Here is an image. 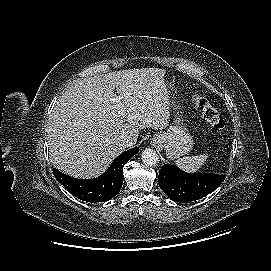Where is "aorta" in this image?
I'll return each instance as SVG.
<instances>
[{"mask_svg": "<svg viewBox=\"0 0 271 271\" xmlns=\"http://www.w3.org/2000/svg\"><path fill=\"white\" fill-rule=\"evenodd\" d=\"M141 159L144 165L155 166L158 163L159 158L157 153L153 149L146 148L142 151Z\"/></svg>", "mask_w": 271, "mask_h": 271, "instance_id": "762f6f07", "label": "aorta"}]
</instances>
